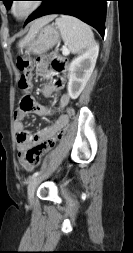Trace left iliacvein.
I'll return each mask as SVG.
<instances>
[{
    "label": "left iliac vein",
    "instance_id": "4c4485c4",
    "mask_svg": "<svg viewBox=\"0 0 133 253\" xmlns=\"http://www.w3.org/2000/svg\"><path fill=\"white\" fill-rule=\"evenodd\" d=\"M44 179V176H37L35 178H33L29 184H28V188H27V192H28V200L29 202L32 204L33 200H34V192L36 187L38 186V184Z\"/></svg>",
    "mask_w": 133,
    "mask_h": 253
}]
</instances>
